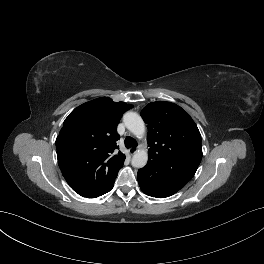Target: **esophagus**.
Here are the masks:
<instances>
[{
  "label": "esophagus",
  "mask_w": 264,
  "mask_h": 264,
  "mask_svg": "<svg viewBox=\"0 0 264 264\" xmlns=\"http://www.w3.org/2000/svg\"><path fill=\"white\" fill-rule=\"evenodd\" d=\"M128 152H129L130 155H133V154H135L137 152V148L131 147V148H129Z\"/></svg>",
  "instance_id": "obj_1"
}]
</instances>
